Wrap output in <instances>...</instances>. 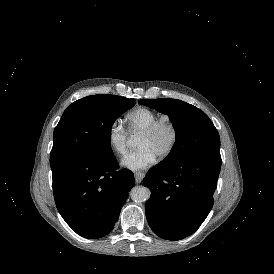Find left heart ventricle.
I'll list each match as a JSON object with an SVG mask.
<instances>
[{
  "label": "left heart ventricle",
  "mask_w": 274,
  "mask_h": 274,
  "mask_svg": "<svg viewBox=\"0 0 274 274\" xmlns=\"http://www.w3.org/2000/svg\"><path fill=\"white\" fill-rule=\"evenodd\" d=\"M170 133L167 129L159 130L151 137L139 135L136 147L149 149L158 158L169 146Z\"/></svg>",
  "instance_id": "obj_1"
}]
</instances>
